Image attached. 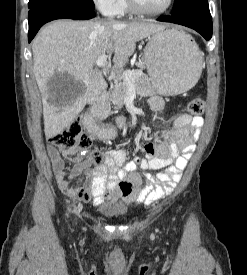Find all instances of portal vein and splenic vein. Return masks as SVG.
I'll return each mask as SVG.
<instances>
[{
    "label": "portal vein and splenic vein",
    "instance_id": "portal-vein-and-splenic-vein-1",
    "mask_svg": "<svg viewBox=\"0 0 247 275\" xmlns=\"http://www.w3.org/2000/svg\"><path fill=\"white\" fill-rule=\"evenodd\" d=\"M107 62V56L106 55H102L100 56L97 61H96V65L97 67H105ZM143 72L141 70H136V71H130V70H126L123 72L122 77L124 80H126L129 84H132V80L133 78L142 75ZM133 85V84H132Z\"/></svg>",
    "mask_w": 247,
    "mask_h": 275
}]
</instances>
